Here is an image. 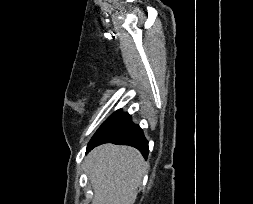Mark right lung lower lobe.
<instances>
[{
  "label": "right lung lower lobe",
  "instance_id": "obj_1",
  "mask_svg": "<svg viewBox=\"0 0 253 204\" xmlns=\"http://www.w3.org/2000/svg\"><path fill=\"white\" fill-rule=\"evenodd\" d=\"M114 143L129 145L140 150L145 159L148 156V141L145 139L142 129L132 123L128 113L121 110L113 113L97 130L87 146V152L94 147Z\"/></svg>",
  "mask_w": 253,
  "mask_h": 204
}]
</instances>
